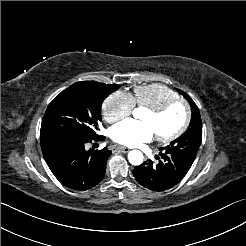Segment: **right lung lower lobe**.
<instances>
[{
  "instance_id": "98d812e1",
  "label": "right lung lower lobe",
  "mask_w": 246,
  "mask_h": 246,
  "mask_svg": "<svg viewBox=\"0 0 246 246\" xmlns=\"http://www.w3.org/2000/svg\"><path fill=\"white\" fill-rule=\"evenodd\" d=\"M104 139L103 136L100 137ZM47 135L40 137L44 159L55 177L65 186L85 191L103 178L111 151L86 149L88 143L100 139Z\"/></svg>"
}]
</instances>
